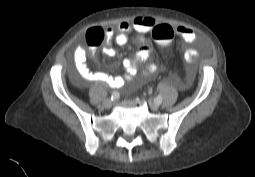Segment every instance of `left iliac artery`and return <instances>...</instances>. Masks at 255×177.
<instances>
[{"label":"left iliac artery","instance_id":"obj_1","mask_svg":"<svg viewBox=\"0 0 255 177\" xmlns=\"http://www.w3.org/2000/svg\"><path fill=\"white\" fill-rule=\"evenodd\" d=\"M155 102L160 105L162 103V96L158 95Z\"/></svg>","mask_w":255,"mask_h":177}]
</instances>
